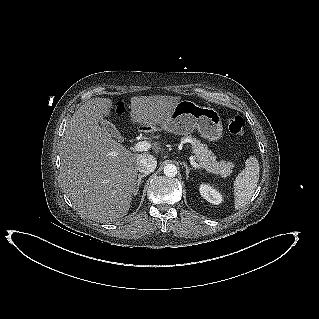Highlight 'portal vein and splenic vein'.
I'll return each mask as SVG.
<instances>
[{
  "instance_id": "portal-vein-and-splenic-vein-1",
  "label": "portal vein and splenic vein",
  "mask_w": 319,
  "mask_h": 319,
  "mask_svg": "<svg viewBox=\"0 0 319 319\" xmlns=\"http://www.w3.org/2000/svg\"><path fill=\"white\" fill-rule=\"evenodd\" d=\"M151 148V144L148 143L147 141H140V142H137L135 145H134V151H138V152H142V151H147ZM190 164L194 167V168H197V169H201V166L195 162L194 159H190Z\"/></svg>"
}]
</instances>
